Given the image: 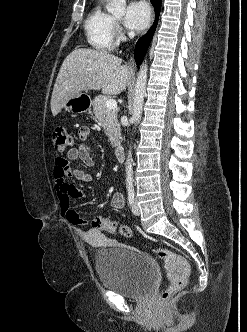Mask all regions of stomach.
Segmentation results:
<instances>
[{
	"label": "stomach",
	"mask_w": 247,
	"mask_h": 332,
	"mask_svg": "<svg viewBox=\"0 0 247 332\" xmlns=\"http://www.w3.org/2000/svg\"><path fill=\"white\" fill-rule=\"evenodd\" d=\"M92 105L91 98L85 93H78L68 99L64 104L63 109L66 112H82L89 110Z\"/></svg>",
	"instance_id": "obj_1"
}]
</instances>
